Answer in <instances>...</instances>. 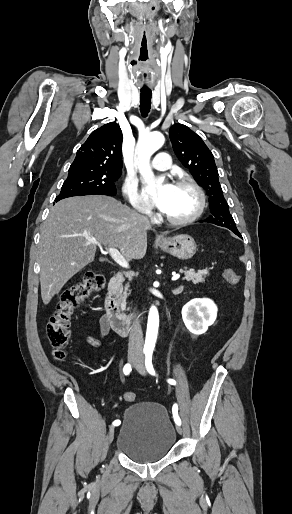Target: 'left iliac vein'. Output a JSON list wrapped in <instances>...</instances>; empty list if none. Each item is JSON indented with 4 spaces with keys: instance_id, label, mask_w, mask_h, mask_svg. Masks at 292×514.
Here are the masks:
<instances>
[{
    "instance_id": "1",
    "label": "left iliac vein",
    "mask_w": 292,
    "mask_h": 514,
    "mask_svg": "<svg viewBox=\"0 0 292 514\" xmlns=\"http://www.w3.org/2000/svg\"><path fill=\"white\" fill-rule=\"evenodd\" d=\"M134 367L136 368V370L142 374V375H145L146 374V371H145V366H144V362H143V359L142 358H139L138 361L136 362V364H134ZM176 431L179 433V434H182L183 433V429L180 425H177L176 426Z\"/></svg>"
}]
</instances>
